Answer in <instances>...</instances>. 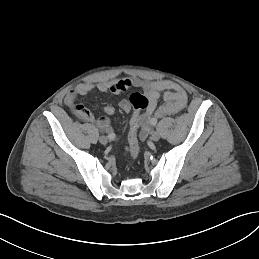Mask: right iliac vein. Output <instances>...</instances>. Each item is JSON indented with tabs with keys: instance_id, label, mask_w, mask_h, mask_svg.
Segmentation results:
<instances>
[{
	"instance_id": "63e3f726",
	"label": "right iliac vein",
	"mask_w": 259,
	"mask_h": 259,
	"mask_svg": "<svg viewBox=\"0 0 259 259\" xmlns=\"http://www.w3.org/2000/svg\"><path fill=\"white\" fill-rule=\"evenodd\" d=\"M99 141L101 144H107L108 138L106 136H100Z\"/></svg>"
}]
</instances>
